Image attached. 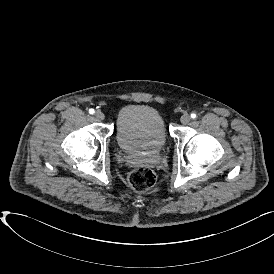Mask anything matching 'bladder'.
Wrapping results in <instances>:
<instances>
[{"instance_id": "bladder-1", "label": "bladder", "mask_w": 274, "mask_h": 274, "mask_svg": "<svg viewBox=\"0 0 274 274\" xmlns=\"http://www.w3.org/2000/svg\"><path fill=\"white\" fill-rule=\"evenodd\" d=\"M115 139L127 153H157L168 141L165 118L150 104H128L116 116Z\"/></svg>"}]
</instances>
